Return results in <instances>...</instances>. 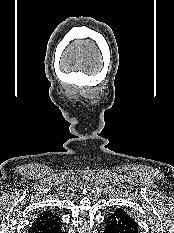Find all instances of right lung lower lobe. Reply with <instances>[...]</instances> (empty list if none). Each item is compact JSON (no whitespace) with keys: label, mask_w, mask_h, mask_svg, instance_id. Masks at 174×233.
I'll return each mask as SVG.
<instances>
[{"label":"right lung lower lobe","mask_w":174,"mask_h":233,"mask_svg":"<svg viewBox=\"0 0 174 233\" xmlns=\"http://www.w3.org/2000/svg\"><path fill=\"white\" fill-rule=\"evenodd\" d=\"M36 233H63V232H62V228L60 227V224H58L53 227L37 231Z\"/></svg>","instance_id":"right-lung-lower-lobe-1"}]
</instances>
